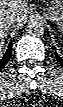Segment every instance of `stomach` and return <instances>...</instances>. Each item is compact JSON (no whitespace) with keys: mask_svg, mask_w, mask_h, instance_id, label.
<instances>
[{"mask_svg":"<svg viewBox=\"0 0 63 107\" xmlns=\"http://www.w3.org/2000/svg\"><path fill=\"white\" fill-rule=\"evenodd\" d=\"M45 14L49 20L63 28V0L53 1L52 5L45 9Z\"/></svg>","mask_w":63,"mask_h":107,"instance_id":"1","label":"stomach"}]
</instances>
